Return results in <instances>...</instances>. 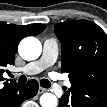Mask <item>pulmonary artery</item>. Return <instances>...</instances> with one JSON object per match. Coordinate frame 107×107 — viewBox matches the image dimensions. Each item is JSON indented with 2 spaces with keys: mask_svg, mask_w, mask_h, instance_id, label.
Returning a JSON list of instances; mask_svg holds the SVG:
<instances>
[{
  "mask_svg": "<svg viewBox=\"0 0 107 107\" xmlns=\"http://www.w3.org/2000/svg\"><path fill=\"white\" fill-rule=\"evenodd\" d=\"M58 43L55 39H46L43 44L42 56L39 60L30 62L20 69L27 75L37 74L53 65L58 56Z\"/></svg>",
  "mask_w": 107,
  "mask_h": 107,
  "instance_id": "obj_1",
  "label": "pulmonary artery"
}]
</instances>
